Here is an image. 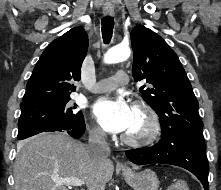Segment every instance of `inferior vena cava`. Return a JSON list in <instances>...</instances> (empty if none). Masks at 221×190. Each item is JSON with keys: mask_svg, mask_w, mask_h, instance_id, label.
<instances>
[{"mask_svg": "<svg viewBox=\"0 0 221 190\" xmlns=\"http://www.w3.org/2000/svg\"><path fill=\"white\" fill-rule=\"evenodd\" d=\"M87 151L91 158L96 161H104L110 155V148L106 141V134L102 129L95 128L89 132Z\"/></svg>", "mask_w": 221, "mask_h": 190, "instance_id": "1", "label": "inferior vena cava"}]
</instances>
